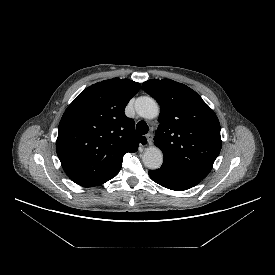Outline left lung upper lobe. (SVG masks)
I'll return each instance as SVG.
<instances>
[{"mask_svg": "<svg viewBox=\"0 0 275 275\" xmlns=\"http://www.w3.org/2000/svg\"><path fill=\"white\" fill-rule=\"evenodd\" d=\"M143 88L161 107L154 144L163 163L203 179L222 147L216 114L194 90L173 80L151 79Z\"/></svg>", "mask_w": 275, "mask_h": 275, "instance_id": "1", "label": "left lung upper lobe"}]
</instances>
